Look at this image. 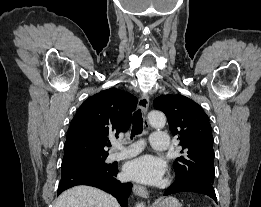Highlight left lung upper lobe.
I'll return each mask as SVG.
<instances>
[{"label":"left lung upper lobe","mask_w":261,"mask_h":207,"mask_svg":"<svg viewBox=\"0 0 261 207\" xmlns=\"http://www.w3.org/2000/svg\"><path fill=\"white\" fill-rule=\"evenodd\" d=\"M165 113L169 128L180 140L184 154L174 162L177 176L204 179L213 184L214 151L212 128L202 107L183 95H161L153 102Z\"/></svg>","instance_id":"obj_1"}]
</instances>
